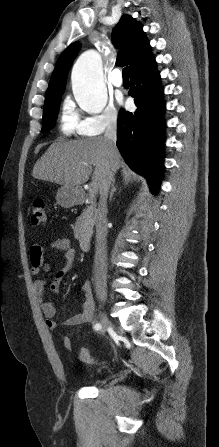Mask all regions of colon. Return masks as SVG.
Instances as JSON below:
<instances>
[{
  "mask_svg": "<svg viewBox=\"0 0 219 447\" xmlns=\"http://www.w3.org/2000/svg\"><path fill=\"white\" fill-rule=\"evenodd\" d=\"M46 219H47V215H46V209H45V201L43 199H35L32 202L31 208H30V222H31V224L34 226H39V225L44 224L46 222ZM67 345H68L67 349H71V347L69 346L68 343H67ZM83 357L86 362L93 361L91 355L89 354V352L87 350L83 353Z\"/></svg>",
  "mask_w": 219,
  "mask_h": 447,
  "instance_id": "1",
  "label": "colon"
}]
</instances>
